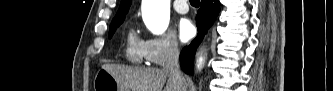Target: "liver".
<instances>
[{
	"mask_svg": "<svg viewBox=\"0 0 333 91\" xmlns=\"http://www.w3.org/2000/svg\"><path fill=\"white\" fill-rule=\"evenodd\" d=\"M107 70L119 83L131 91H186L187 82L183 83L169 78V75L158 68L128 67L114 64H104Z\"/></svg>",
	"mask_w": 333,
	"mask_h": 91,
	"instance_id": "6515ba94",
	"label": "liver"
}]
</instances>
